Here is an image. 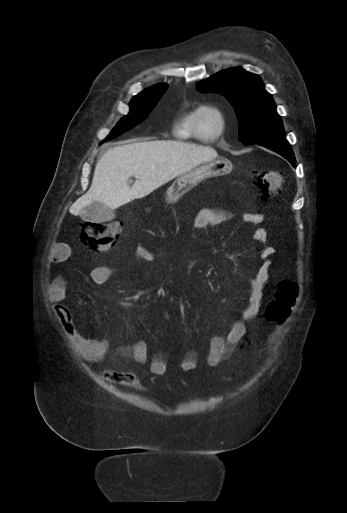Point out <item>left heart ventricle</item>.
Wrapping results in <instances>:
<instances>
[{
    "mask_svg": "<svg viewBox=\"0 0 347 513\" xmlns=\"http://www.w3.org/2000/svg\"><path fill=\"white\" fill-rule=\"evenodd\" d=\"M219 123L217 118L210 113H205L200 118V128L204 136H210L217 131Z\"/></svg>",
    "mask_w": 347,
    "mask_h": 513,
    "instance_id": "left-heart-ventricle-1",
    "label": "left heart ventricle"
}]
</instances>
